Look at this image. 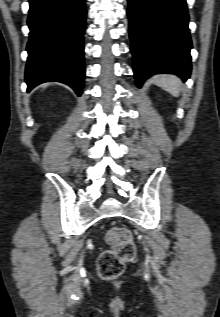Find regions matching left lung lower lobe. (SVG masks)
Returning <instances> with one entry per match:
<instances>
[{
  "instance_id": "obj_1",
  "label": "left lung lower lobe",
  "mask_w": 220,
  "mask_h": 317,
  "mask_svg": "<svg viewBox=\"0 0 220 317\" xmlns=\"http://www.w3.org/2000/svg\"><path fill=\"white\" fill-rule=\"evenodd\" d=\"M136 85L153 74L191 73V38L186 0H128Z\"/></svg>"
}]
</instances>
